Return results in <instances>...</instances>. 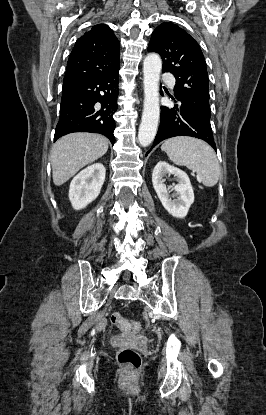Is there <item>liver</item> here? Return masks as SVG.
I'll return each instance as SVG.
<instances>
[{"instance_id": "1", "label": "liver", "mask_w": 266, "mask_h": 415, "mask_svg": "<svg viewBox=\"0 0 266 415\" xmlns=\"http://www.w3.org/2000/svg\"><path fill=\"white\" fill-rule=\"evenodd\" d=\"M109 141L93 133H72L60 138L51 150L53 182L60 186L81 168L102 157Z\"/></svg>"}]
</instances>
